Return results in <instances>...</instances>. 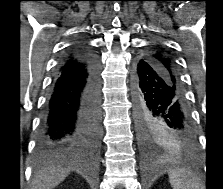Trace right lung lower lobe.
<instances>
[{
    "instance_id": "right-lung-lower-lobe-1",
    "label": "right lung lower lobe",
    "mask_w": 223,
    "mask_h": 189,
    "mask_svg": "<svg viewBox=\"0 0 223 189\" xmlns=\"http://www.w3.org/2000/svg\"><path fill=\"white\" fill-rule=\"evenodd\" d=\"M62 58L50 85L42 114L38 149L56 153L69 147H83L95 154L100 136L99 68L94 56L86 60V67L77 74L61 69Z\"/></svg>"
}]
</instances>
